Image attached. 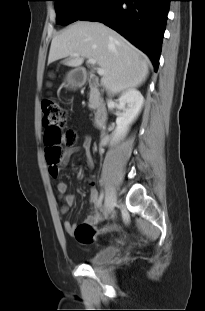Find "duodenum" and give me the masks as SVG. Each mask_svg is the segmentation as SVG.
Instances as JSON below:
<instances>
[{
	"label": "duodenum",
	"instance_id": "1",
	"mask_svg": "<svg viewBox=\"0 0 205 311\" xmlns=\"http://www.w3.org/2000/svg\"><path fill=\"white\" fill-rule=\"evenodd\" d=\"M74 78L78 83H85L90 86L92 91L96 94L99 89V79L90 75L85 69H77L74 73ZM108 116L107 104L104 100L97 98V107L94 113V124L103 123Z\"/></svg>",
	"mask_w": 205,
	"mask_h": 311
}]
</instances>
